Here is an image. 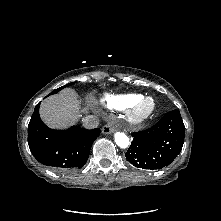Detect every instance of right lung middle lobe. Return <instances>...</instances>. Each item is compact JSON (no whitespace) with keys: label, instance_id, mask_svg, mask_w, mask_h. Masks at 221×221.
<instances>
[{"label":"right lung middle lobe","instance_id":"right-lung-middle-lobe-1","mask_svg":"<svg viewBox=\"0 0 221 221\" xmlns=\"http://www.w3.org/2000/svg\"><path fill=\"white\" fill-rule=\"evenodd\" d=\"M72 84H73V83L66 84L65 86H62V87H60V88H58V89L53 90L50 94H55V93H57V91H60V90L63 89L64 87L70 86V85H72Z\"/></svg>","mask_w":221,"mask_h":221}]
</instances>
